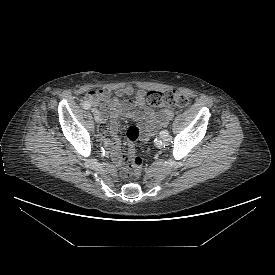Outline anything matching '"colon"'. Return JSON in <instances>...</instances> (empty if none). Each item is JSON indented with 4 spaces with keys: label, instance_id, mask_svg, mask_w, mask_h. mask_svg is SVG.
<instances>
[{
    "label": "colon",
    "instance_id": "colon-1",
    "mask_svg": "<svg viewBox=\"0 0 275 275\" xmlns=\"http://www.w3.org/2000/svg\"><path fill=\"white\" fill-rule=\"evenodd\" d=\"M89 92L87 95H90ZM147 101L156 107L183 108L188 104V97L177 90H153L148 92ZM141 130L137 125H132L127 130L129 141V155L126 161V172L131 173L135 178L139 177L142 170V159L135 154L134 144L140 137Z\"/></svg>",
    "mask_w": 275,
    "mask_h": 275
}]
</instances>
